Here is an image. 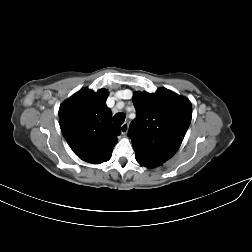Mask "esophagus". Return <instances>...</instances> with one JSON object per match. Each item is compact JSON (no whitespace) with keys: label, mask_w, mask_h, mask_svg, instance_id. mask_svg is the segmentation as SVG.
I'll use <instances>...</instances> for the list:
<instances>
[{"label":"esophagus","mask_w":252,"mask_h":252,"mask_svg":"<svg viewBox=\"0 0 252 252\" xmlns=\"http://www.w3.org/2000/svg\"><path fill=\"white\" fill-rule=\"evenodd\" d=\"M129 124L127 122L123 123L120 127L122 134H126L128 132Z\"/></svg>","instance_id":"obj_1"}]
</instances>
